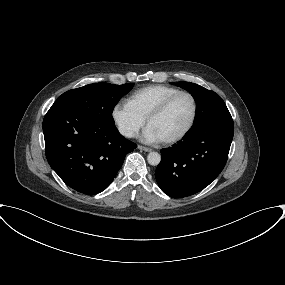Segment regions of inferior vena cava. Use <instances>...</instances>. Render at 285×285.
<instances>
[{
	"label": "inferior vena cava",
	"mask_w": 285,
	"mask_h": 285,
	"mask_svg": "<svg viewBox=\"0 0 285 285\" xmlns=\"http://www.w3.org/2000/svg\"><path fill=\"white\" fill-rule=\"evenodd\" d=\"M122 134H123L124 136H126V137H129V138L135 136V132H134V130H132V129L123 130V131H122Z\"/></svg>",
	"instance_id": "1"
}]
</instances>
